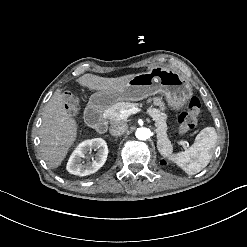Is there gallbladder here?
I'll list each match as a JSON object with an SVG mask.
<instances>
[{
	"label": "gallbladder",
	"instance_id": "gallbladder-1",
	"mask_svg": "<svg viewBox=\"0 0 247 247\" xmlns=\"http://www.w3.org/2000/svg\"><path fill=\"white\" fill-rule=\"evenodd\" d=\"M68 103L71 106V111H74L75 109L79 108V98L78 97H75V96L71 97L68 100Z\"/></svg>",
	"mask_w": 247,
	"mask_h": 247
}]
</instances>
